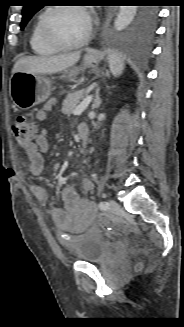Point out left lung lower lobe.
<instances>
[{
  "label": "left lung lower lobe",
  "mask_w": 184,
  "mask_h": 327,
  "mask_svg": "<svg viewBox=\"0 0 184 327\" xmlns=\"http://www.w3.org/2000/svg\"><path fill=\"white\" fill-rule=\"evenodd\" d=\"M156 17L157 11L153 7H144L132 28L112 38V47L125 53H147L155 32Z\"/></svg>",
  "instance_id": "0a47b994"
}]
</instances>
